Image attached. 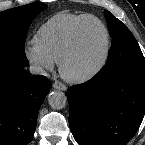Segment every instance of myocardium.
<instances>
[{
  "label": "myocardium",
  "instance_id": "f54148a6",
  "mask_svg": "<svg viewBox=\"0 0 145 145\" xmlns=\"http://www.w3.org/2000/svg\"><path fill=\"white\" fill-rule=\"evenodd\" d=\"M89 21H94V22L98 23L104 31V34H105L104 52H103V55L100 58V60L90 69H88L84 72H81V73H72L69 71V68H68L69 63L71 62V60L73 59V57L75 56V54L79 48L80 41H81V30H82L83 26ZM110 49H111V37H110V32H109L106 24L101 19H99L98 17H95L93 15H90V16L84 18L75 27L73 36H72V40H71L68 48L66 49V51L64 52V54L62 55L61 59L58 62L59 71H60L61 76L66 81L71 82V83H84V82L91 80L105 67V65L109 59Z\"/></svg>",
  "mask_w": 145,
  "mask_h": 145
}]
</instances>
